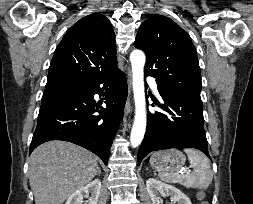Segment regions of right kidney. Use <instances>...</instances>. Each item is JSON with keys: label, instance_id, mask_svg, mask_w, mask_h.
Listing matches in <instances>:
<instances>
[{"label": "right kidney", "instance_id": "right-kidney-1", "mask_svg": "<svg viewBox=\"0 0 253 204\" xmlns=\"http://www.w3.org/2000/svg\"><path fill=\"white\" fill-rule=\"evenodd\" d=\"M100 191H101V181L99 179H95L86 186L72 193L67 199L65 204H82L84 197L88 198V204H97Z\"/></svg>", "mask_w": 253, "mask_h": 204}]
</instances>
